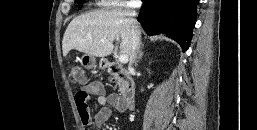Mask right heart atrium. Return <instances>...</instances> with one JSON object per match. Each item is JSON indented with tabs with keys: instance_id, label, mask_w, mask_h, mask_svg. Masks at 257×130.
Returning <instances> with one entry per match:
<instances>
[{
	"instance_id": "obj_1",
	"label": "right heart atrium",
	"mask_w": 257,
	"mask_h": 130,
	"mask_svg": "<svg viewBox=\"0 0 257 130\" xmlns=\"http://www.w3.org/2000/svg\"><path fill=\"white\" fill-rule=\"evenodd\" d=\"M126 0H100L99 4L102 6H125L130 4Z\"/></svg>"
}]
</instances>
